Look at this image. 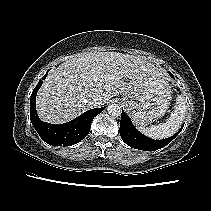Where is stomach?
I'll use <instances>...</instances> for the list:
<instances>
[{
  "instance_id": "stomach-1",
  "label": "stomach",
  "mask_w": 211,
  "mask_h": 211,
  "mask_svg": "<svg viewBox=\"0 0 211 211\" xmlns=\"http://www.w3.org/2000/svg\"><path fill=\"white\" fill-rule=\"evenodd\" d=\"M123 98L124 106L132 113L133 121L136 125L147 126L155 120L164 116L171 100V90H158L144 99Z\"/></svg>"
}]
</instances>
